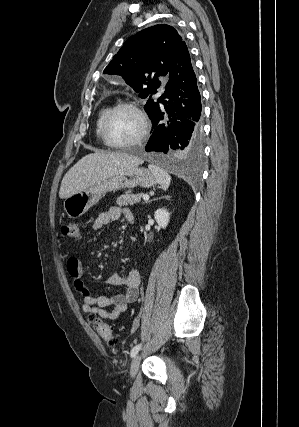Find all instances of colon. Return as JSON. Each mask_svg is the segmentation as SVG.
Masks as SVG:
<instances>
[{
	"instance_id": "colon-1",
	"label": "colon",
	"mask_w": 299,
	"mask_h": 427,
	"mask_svg": "<svg viewBox=\"0 0 299 427\" xmlns=\"http://www.w3.org/2000/svg\"><path fill=\"white\" fill-rule=\"evenodd\" d=\"M60 233L62 237L70 240L80 239V226L77 223H67L61 227ZM95 330L100 335L102 340L108 345L116 343L117 339L113 334L111 327L100 319H94L93 321Z\"/></svg>"
}]
</instances>
